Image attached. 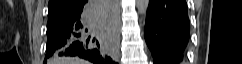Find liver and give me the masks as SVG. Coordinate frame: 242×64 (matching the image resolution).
<instances>
[{"mask_svg":"<svg viewBox=\"0 0 242 64\" xmlns=\"http://www.w3.org/2000/svg\"><path fill=\"white\" fill-rule=\"evenodd\" d=\"M56 64H88L87 61L78 59V58H59L56 61Z\"/></svg>","mask_w":242,"mask_h":64,"instance_id":"6515ba94","label":"liver"}]
</instances>
